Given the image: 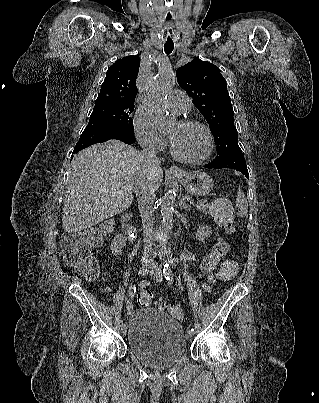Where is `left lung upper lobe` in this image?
Here are the masks:
<instances>
[{
  "label": "left lung upper lobe",
  "instance_id": "1",
  "mask_svg": "<svg viewBox=\"0 0 319 403\" xmlns=\"http://www.w3.org/2000/svg\"><path fill=\"white\" fill-rule=\"evenodd\" d=\"M176 76L179 86L193 98V104L209 123L217 145V156L242 152L227 83L220 69L209 62L194 59L178 68Z\"/></svg>",
  "mask_w": 319,
  "mask_h": 403
}]
</instances>
